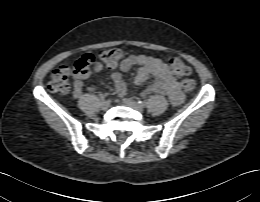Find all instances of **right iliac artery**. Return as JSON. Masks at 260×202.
<instances>
[{
	"label": "right iliac artery",
	"instance_id": "right-iliac-artery-1",
	"mask_svg": "<svg viewBox=\"0 0 260 202\" xmlns=\"http://www.w3.org/2000/svg\"><path fill=\"white\" fill-rule=\"evenodd\" d=\"M100 99H101L102 101L105 100V96L102 95V96L100 97Z\"/></svg>",
	"mask_w": 260,
	"mask_h": 202
}]
</instances>
